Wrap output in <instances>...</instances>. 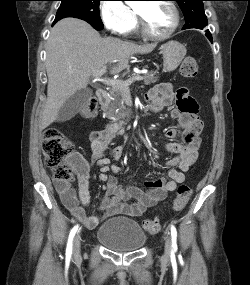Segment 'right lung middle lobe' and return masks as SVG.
Returning a JSON list of instances; mask_svg holds the SVG:
<instances>
[{"instance_id": "obj_1", "label": "right lung middle lobe", "mask_w": 250, "mask_h": 285, "mask_svg": "<svg viewBox=\"0 0 250 285\" xmlns=\"http://www.w3.org/2000/svg\"><path fill=\"white\" fill-rule=\"evenodd\" d=\"M61 5L57 11L55 24L65 17H74L88 22L93 28H104L99 13V3L102 0H60Z\"/></svg>"}]
</instances>
